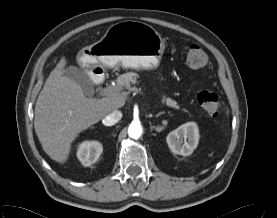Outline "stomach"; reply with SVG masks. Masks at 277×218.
Masks as SVG:
<instances>
[{"label": "stomach", "instance_id": "1", "mask_svg": "<svg viewBox=\"0 0 277 218\" xmlns=\"http://www.w3.org/2000/svg\"><path fill=\"white\" fill-rule=\"evenodd\" d=\"M164 50L165 42L153 27L125 20L112 25L98 42L82 48L77 61L89 69H156Z\"/></svg>", "mask_w": 277, "mask_h": 218}]
</instances>
